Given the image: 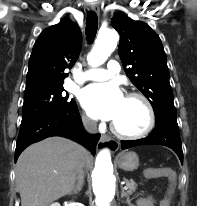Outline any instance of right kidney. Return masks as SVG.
Here are the masks:
<instances>
[{
    "label": "right kidney",
    "mask_w": 197,
    "mask_h": 206,
    "mask_svg": "<svg viewBox=\"0 0 197 206\" xmlns=\"http://www.w3.org/2000/svg\"><path fill=\"white\" fill-rule=\"evenodd\" d=\"M50 206H60V204L59 203H53Z\"/></svg>",
    "instance_id": "obj_1"
}]
</instances>
